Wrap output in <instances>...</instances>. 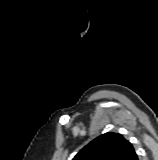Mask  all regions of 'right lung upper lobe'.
<instances>
[{
    "instance_id": "1",
    "label": "right lung upper lobe",
    "mask_w": 158,
    "mask_h": 160,
    "mask_svg": "<svg viewBox=\"0 0 158 160\" xmlns=\"http://www.w3.org/2000/svg\"><path fill=\"white\" fill-rule=\"evenodd\" d=\"M72 160H138V157L121 134L108 132L92 140Z\"/></svg>"
}]
</instances>
